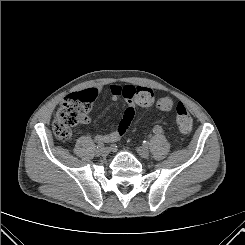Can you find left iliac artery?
Here are the masks:
<instances>
[{"label":"left iliac artery","instance_id":"obj_1","mask_svg":"<svg viewBox=\"0 0 245 245\" xmlns=\"http://www.w3.org/2000/svg\"><path fill=\"white\" fill-rule=\"evenodd\" d=\"M153 132L155 134H160L162 132V129L160 127H156V128H154Z\"/></svg>","mask_w":245,"mask_h":245}]
</instances>
